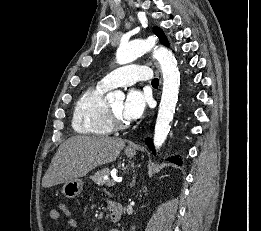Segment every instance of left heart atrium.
<instances>
[{
    "instance_id": "39dd6f15",
    "label": "left heart atrium",
    "mask_w": 261,
    "mask_h": 231,
    "mask_svg": "<svg viewBox=\"0 0 261 231\" xmlns=\"http://www.w3.org/2000/svg\"><path fill=\"white\" fill-rule=\"evenodd\" d=\"M148 99V95L143 91L137 88L130 89L123 104L124 118L127 120L139 119L146 109Z\"/></svg>"
}]
</instances>
